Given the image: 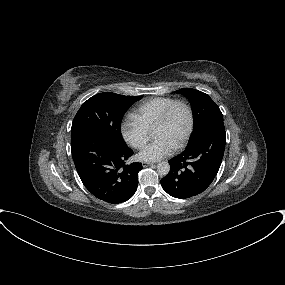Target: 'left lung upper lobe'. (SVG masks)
<instances>
[{"mask_svg":"<svg viewBox=\"0 0 285 285\" xmlns=\"http://www.w3.org/2000/svg\"><path fill=\"white\" fill-rule=\"evenodd\" d=\"M175 93L184 95L192 105L195 123L190 142L212 122L223 121L219 107L207 94L191 88H182Z\"/></svg>","mask_w":285,"mask_h":285,"instance_id":"obj_1","label":"left lung upper lobe"}]
</instances>
